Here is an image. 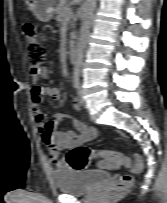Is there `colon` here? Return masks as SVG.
I'll list each match as a JSON object with an SVG mask.
<instances>
[{
	"label": "colon",
	"instance_id": "5ec220e1",
	"mask_svg": "<svg viewBox=\"0 0 167 203\" xmlns=\"http://www.w3.org/2000/svg\"><path fill=\"white\" fill-rule=\"evenodd\" d=\"M25 46L27 60L31 70L41 69L47 59V50L40 42L37 29L34 24L26 23L24 26ZM94 155L107 156L118 165L129 167L131 173L122 175L114 184L107 188L111 194L124 191L133 185L134 173L143 169V162L136 158L131 162L130 158L120 151L92 150L85 145H78L69 149L66 155V162L72 169L83 170L88 167L90 158Z\"/></svg>",
	"mask_w": 167,
	"mask_h": 203
}]
</instances>
